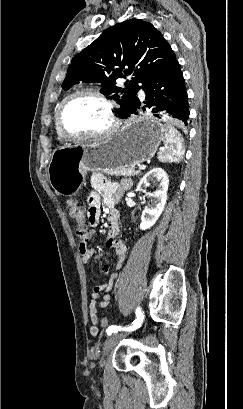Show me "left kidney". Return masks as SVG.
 <instances>
[{"mask_svg": "<svg viewBox=\"0 0 243 409\" xmlns=\"http://www.w3.org/2000/svg\"><path fill=\"white\" fill-rule=\"evenodd\" d=\"M150 183L156 184L157 189L155 192L149 194L151 202L143 210L140 224L141 230L149 229L157 222L167 201L169 186L167 173L162 168H153L141 178L137 186V191L144 192V189Z\"/></svg>", "mask_w": 243, "mask_h": 409, "instance_id": "1", "label": "left kidney"}]
</instances>
